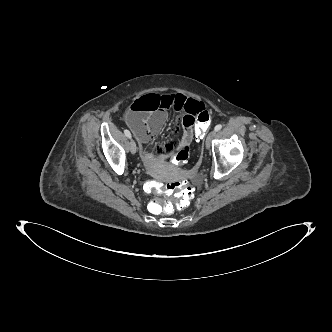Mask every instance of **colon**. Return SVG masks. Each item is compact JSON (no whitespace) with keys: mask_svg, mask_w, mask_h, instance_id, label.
<instances>
[{"mask_svg":"<svg viewBox=\"0 0 332 332\" xmlns=\"http://www.w3.org/2000/svg\"><path fill=\"white\" fill-rule=\"evenodd\" d=\"M195 122L193 129L194 145L196 147H203L205 145V137L208 133V125L210 124L211 113L207 110L200 112ZM193 148L191 146H183L181 151L175 152L169 159V164L173 168H178L181 164H187L193 155ZM144 190L147 193L160 194L162 197H169L175 194V202L163 201L162 199H155L152 202V209L158 213H171L175 208L189 209L192 206L193 187L187 179H177L168 183H160L156 180H149L144 185Z\"/></svg>","mask_w":332,"mask_h":332,"instance_id":"obj_1","label":"colon"}]
</instances>
